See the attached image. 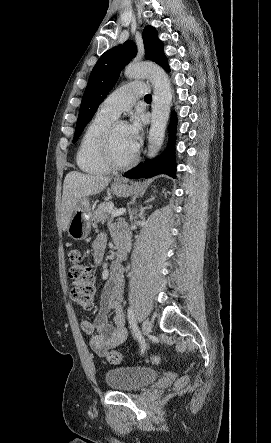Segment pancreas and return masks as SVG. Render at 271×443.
Here are the masks:
<instances>
[{
    "mask_svg": "<svg viewBox=\"0 0 271 443\" xmlns=\"http://www.w3.org/2000/svg\"><path fill=\"white\" fill-rule=\"evenodd\" d=\"M110 206H113L112 202H105V204H99L97 210H95V212H93L92 214L94 227H97L98 222H105V220H108V218H110V214H112V212H109Z\"/></svg>",
    "mask_w": 271,
    "mask_h": 443,
    "instance_id": "pancreas-1",
    "label": "pancreas"
}]
</instances>
